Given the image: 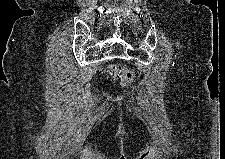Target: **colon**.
<instances>
[{"instance_id": "colon-1", "label": "colon", "mask_w": 225, "mask_h": 159, "mask_svg": "<svg viewBox=\"0 0 225 159\" xmlns=\"http://www.w3.org/2000/svg\"><path fill=\"white\" fill-rule=\"evenodd\" d=\"M107 76L111 79L120 80L125 86L130 85L134 80V72L120 64H111L106 70Z\"/></svg>"}]
</instances>
